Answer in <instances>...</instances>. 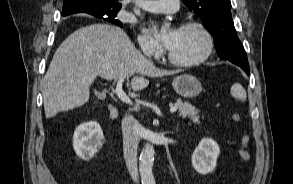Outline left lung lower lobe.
I'll list each match as a JSON object with an SVG mask.
<instances>
[{
  "instance_id": "1",
  "label": "left lung lower lobe",
  "mask_w": 293,
  "mask_h": 184,
  "mask_svg": "<svg viewBox=\"0 0 293 184\" xmlns=\"http://www.w3.org/2000/svg\"><path fill=\"white\" fill-rule=\"evenodd\" d=\"M223 51H235L239 56L238 58H232L229 61L237 64L240 66L242 69L245 70L247 74H249V64L246 56V52L244 50V47L240 41H235L232 46L226 45L222 48ZM223 59H226L224 57H221ZM228 60V59H226Z\"/></svg>"
}]
</instances>
